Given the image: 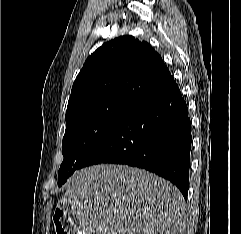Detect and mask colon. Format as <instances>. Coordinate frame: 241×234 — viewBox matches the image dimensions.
Returning a JSON list of instances; mask_svg holds the SVG:
<instances>
[{"instance_id":"1","label":"colon","mask_w":241,"mask_h":234,"mask_svg":"<svg viewBox=\"0 0 241 234\" xmlns=\"http://www.w3.org/2000/svg\"><path fill=\"white\" fill-rule=\"evenodd\" d=\"M53 219L56 234H77L71 217L65 211L56 210Z\"/></svg>"}]
</instances>
